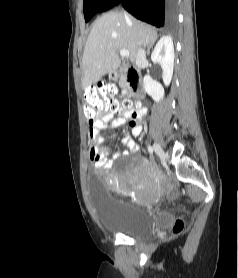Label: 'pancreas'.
<instances>
[{"label":"pancreas","mask_w":238,"mask_h":278,"mask_svg":"<svg viewBox=\"0 0 238 278\" xmlns=\"http://www.w3.org/2000/svg\"><path fill=\"white\" fill-rule=\"evenodd\" d=\"M119 85H120L121 87H127V86H128V83L126 82L125 79H122V80L120 81Z\"/></svg>","instance_id":"cf45deb5"}]
</instances>
